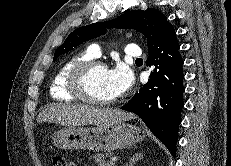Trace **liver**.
Returning <instances> with one entry per match:
<instances>
[{
	"instance_id": "obj_1",
	"label": "liver",
	"mask_w": 231,
	"mask_h": 166,
	"mask_svg": "<svg viewBox=\"0 0 231 166\" xmlns=\"http://www.w3.org/2000/svg\"><path fill=\"white\" fill-rule=\"evenodd\" d=\"M132 114L119 109H102L84 104H52L45 107L38 115L37 122H52L68 127L94 124L106 127L130 120Z\"/></svg>"
}]
</instances>
